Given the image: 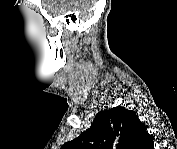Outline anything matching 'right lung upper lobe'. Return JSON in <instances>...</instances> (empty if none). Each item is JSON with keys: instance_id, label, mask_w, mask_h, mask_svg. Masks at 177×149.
Returning a JSON list of instances; mask_svg holds the SVG:
<instances>
[{"instance_id": "right-lung-upper-lobe-1", "label": "right lung upper lobe", "mask_w": 177, "mask_h": 149, "mask_svg": "<svg viewBox=\"0 0 177 149\" xmlns=\"http://www.w3.org/2000/svg\"><path fill=\"white\" fill-rule=\"evenodd\" d=\"M152 138L134 111L117 106L99 112L92 126L63 149H151Z\"/></svg>"}]
</instances>
